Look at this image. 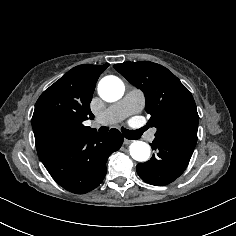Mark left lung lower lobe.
Returning <instances> with one entry per match:
<instances>
[{"mask_svg": "<svg viewBox=\"0 0 236 236\" xmlns=\"http://www.w3.org/2000/svg\"><path fill=\"white\" fill-rule=\"evenodd\" d=\"M150 145L157 154L138 164L136 170L142 180L156 186H164L177 179L186 169L194 151V148L163 138H155Z\"/></svg>", "mask_w": 236, "mask_h": 236, "instance_id": "left-lung-lower-lobe-1", "label": "left lung lower lobe"}]
</instances>
